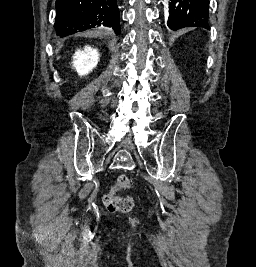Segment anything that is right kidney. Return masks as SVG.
<instances>
[{
    "label": "right kidney",
    "mask_w": 256,
    "mask_h": 267,
    "mask_svg": "<svg viewBox=\"0 0 256 267\" xmlns=\"http://www.w3.org/2000/svg\"><path fill=\"white\" fill-rule=\"evenodd\" d=\"M99 62V54L95 48L85 46L82 50H77L73 56V68L76 70L78 76H87L96 68Z\"/></svg>",
    "instance_id": "obj_1"
}]
</instances>
